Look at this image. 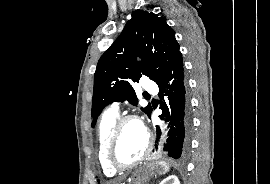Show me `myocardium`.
Instances as JSON below:
<instances>
[{"instance_id": "f54148a6", "label": "myocardium", "mask_w": 270, "mask_h": 184, "mask_svg": "<svg viewBox=\"0 0 270 184\" xmlns=\"http://www.w3.org/2000/svg\"><path fill=\"white\" fill-rule=\"evenodd\" d=\"M131 121L138 122L139 124L142 125V127L144 128V130L146 132L147 145H146V149H145L144 153L138 159H136L135 161H132L130 163L123 164V163H120L116 160L115 152H116L118 141H119L121 131H122L124 125L128 122H131ZM152 147H153V139H152L150 133L144 127L141 119L135 115H125V116L118 118V120L116 121V123L112 129V132H111L109 140H108L107 148H106V159H107V162L110 165V167H112L114 170H116V171L127 170V169H130V168L142 163L145 159H147L152 151Z\"/></svg>"}]
</instances>
